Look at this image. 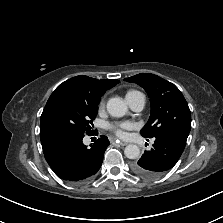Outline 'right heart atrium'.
Segmentation results:
<instances>
[{
    "label": "right heart atrium",
    "instance_id": "d8ad5b80",
    "mask_svg": "<svg viewBox=\"0 0 223 223\" xmlns=\"http://www.w3.org/2000/svg\"><path fill=\"white\" fill-rule=\"evenodd\" d=\"M104 105H105V101H104V99H102V100L100 101V103H99V108H100V109L103 108Z\"/></svg>",
    "mask_w": 223,
    "mask_h": 223
}]
</instances>
